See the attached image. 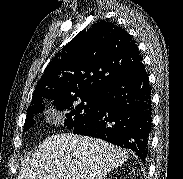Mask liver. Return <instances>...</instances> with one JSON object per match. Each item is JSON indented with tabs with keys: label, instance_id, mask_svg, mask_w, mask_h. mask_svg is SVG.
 Masks as SVG:
<instances>
[{
	"label": "liver",
	"instance_id": "obj_1",
	"mask_svg": "<svg viewBox=\"0 0 183 179\" xmlns=\"http://www.w3.org/2000/svg\"><path fill=\"white\" fill-rule=\"evenodd\" d=\"M128 156L125 150L102 140L58 134L24 157L20 179H102Z\"/></svg>",
	"mask_w": 183,
	"mask_h": 179
}]
</instances>
